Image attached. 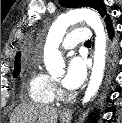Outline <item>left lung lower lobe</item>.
<instances>
[{
	"instance_id": "1",
	"label": "left lung lower lobe",
	"mask_w": 122,
	"mask_h": 123,
	"mask_svg": "<svg viewBox=\"0 0 122 123\" xmlns=\"http://www.w3.org/2000/svg\"><path fill=\"white\" fill-rule=\"evenodd\" d=\"M104 22L106 24L108 36L111 39L112 67H115L117 63V55H118V50H119L118 39L114 36V28H113V24H112V21L109 15L105 16Z\"/></svg>"
}]
</instances>
